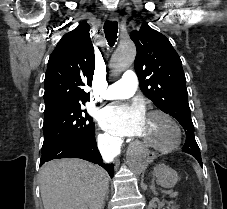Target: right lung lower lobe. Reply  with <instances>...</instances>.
<instances>
[{
    "label": "right lung lower lobe",
    "instance_id": "1",
    "mask_svg": "<svg viewBox=\"0 0 227 209\" xmlns=\"http://www.w3.org/2000/svg\"><path fill=\"white\" fill-rule=\"evenodd\" d=\"M81 158L102 166L113 177V165L103 163L95 142V131L89 137L75 136L60 140L51 145L42 146L40 165L52 159Z\"/></svg>",
    "mask_w": 227,
    "mask_h": 209
}]
</instances>
